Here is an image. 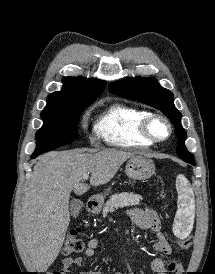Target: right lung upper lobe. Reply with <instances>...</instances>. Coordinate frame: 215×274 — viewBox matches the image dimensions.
I'll return each mask as SVG.
<instances>
[{
    "mask_svg": "<svg viewBox=\"0 0 215 274\" xmlns=\"http://www.w3.org/2000/svg\"><path fill=\"white\" fill-rule=\"evenodd\" d=\"M63 84L61 91L54 92L48 96V103L91 104L103 92L106 82L94 78L66 77L63 79Z\"/></svg>",
    "mask_w": 215,
    "mask_h": 274,
    "instance_id": "cb5924a9",
    "label": "right lung upper lobe"
}]
</instances>
